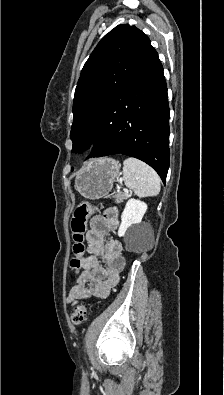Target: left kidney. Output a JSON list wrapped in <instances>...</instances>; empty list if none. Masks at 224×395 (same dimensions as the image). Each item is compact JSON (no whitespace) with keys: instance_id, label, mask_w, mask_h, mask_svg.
Listing matches in <instances>:
<instances>
[{"instance_id":"5707ae66","label":"left kidney","mask_w":224,"mask_h":395,"mask_svg":"<svg viewBox=\"0 0 224 395\" xmlns=\"http://www.w3.org/2000/svg\"><path fill=\"white\" fill-rule=\"evenodd\" d=\"M146 210V203L134 198L129 199L121 215V225L118 230V236H124L129 228L140 224Z\"/></svg>"}]
</instances>
